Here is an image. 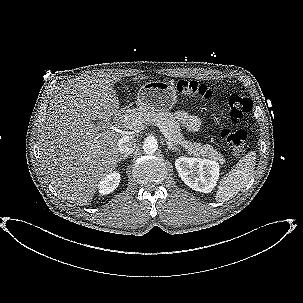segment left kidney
<instances>
[{
  "label": "left kidney",
  "instance_id": "5707ae66",
  "mask_svg": "<svg viewBox=\"0 0 303 303\" xmlns=\"http://www.w3.org/2000/svg\"><path fill=\"white\" fill-rule=\"evenodd\" d=\"M175 166L182 181L195 191L210 193L219 178V165L201 158L180 157Z\"/></svg>",
  "mask_w": 303,
  "mask_h": 303
}]
</instances>
